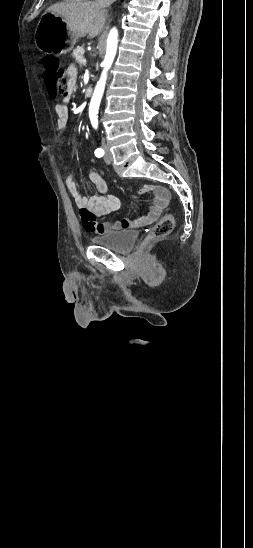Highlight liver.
<instances>
[{"mask_svg": "<svg viewBox=\"0 0 253 548\" xmlns=\"http://www.w3.org/2000/svg\"><path fill=\"white\" fill-rule=\"evenodd\" d=\"M45 13L61 17L66 23L71 36L77 38L89 35L97 36L106 22V11L95 2H61L51 5Z\"/></svg>", "mask_w": 253, "mask_h": 548, "instance_id": "obj_1", "label": "liver"}]
</instances>
